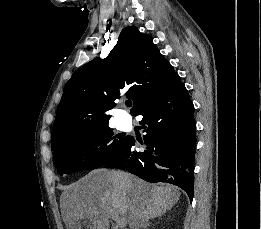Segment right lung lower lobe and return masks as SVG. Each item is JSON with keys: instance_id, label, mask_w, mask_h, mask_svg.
Listing matches in <instances>:
<instances>
[{"instance_id": "98d812e1", "label": "right lung lower lobe", "mask_w": 261, "mask_h": 229, "mask_svg": "<svg viewBox=\"0 0 261 229\" xmlns=\"http://www.w3.org/2000/svg\"><path fill=\"white\" fill-rule=\"evenodd\" d=\"M141 124L146 150L138 151L130 139L103 167L126 170L152 183L166 182L194 194L196 131L194 105L179 75L154 100L143 106Z\"/></svg>"}]
</instances>
